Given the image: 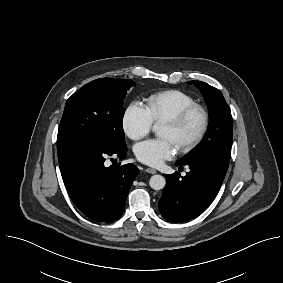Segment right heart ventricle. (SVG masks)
Here are the masks:
<instances>
[{
	"label": "right heart ventricle",
	"instance_id": "1",
	"mask_svg": "<svg viewBox=\"0 0 283 283\" xmlns=\"http://www.w3.org/2000/svg\"><path fill=\"white\" fill-rule=\"evenodd\" d=\"M193 103L194 99L186 92L170 89L150 95L145 107L153 123H162Z\"/></svg>",
	"mask_w": 283,
	"mask_h": 283
}]
</instances>
